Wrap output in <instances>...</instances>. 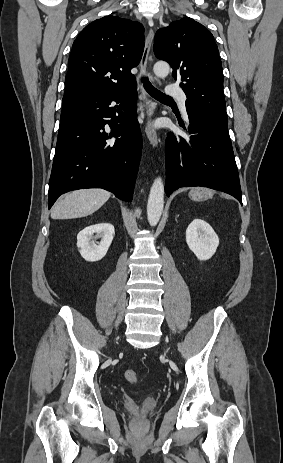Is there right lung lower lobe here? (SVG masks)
Returning <instances> with one entry per match:
<instances>
[{"mask_svg": "<svg viewBox=\"0 0 283 463\" xmlns=\"http://www.w3.org/2000/svg\"><path fill=\"white\" fill-rule=\"evenodd\" d=\"M136 97L133 85L61 114L49 208L61 194L82 188H103L132 200L142 149Z\"/></svg>", "mask_w": 283, "mask_h": 463, "instance_id": "obj_1", "label": "right lung lower lobe"}]
</instances>
